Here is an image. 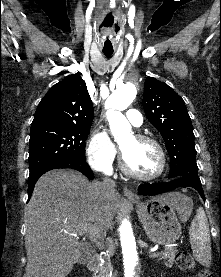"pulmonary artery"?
Wrapping results in <instances>:
<instances>
[{
  "label": "pulmonary artery",
  "mask_w": 221,
  "mask_h": 277,
  "mask_svg": "<svg viewBox=\"0 0 221 277\" xmlns=\"http://www.w3.org/2000/svg\"><path fill=\"white\" fill-rule=\"evenodd\" d=\"M128 121L135 127H140L143 123V117L141 113L136 109H129L126 112Z\"/></svg>",
  "instance_id": "1"
}]
</instances>
